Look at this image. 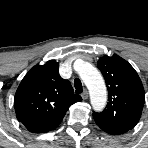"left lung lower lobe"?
<instances>
[{
	"instance_id": "obj_1",
	"label": "left lung lower lobe",
	"mask_w": 148,
	"mask_h": 148,
	"mask_svg": "<svg viewBox=\"0 0 148 148\" xmlns=\"http://www.w3.org/2000/svg\"><path fill=\"white\" fill-rule=\"evenodd\" d=\"M102 130H104L105 132L109 133V134H112V135H120V134H123L117 130H114L112 128H109V127H106V128H101Z\"/></svg>"
}]
</instances>
